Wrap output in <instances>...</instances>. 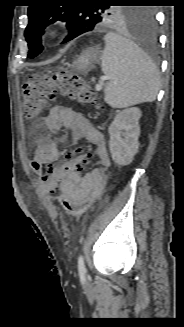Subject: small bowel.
<instances>
[{"label": "small bowel", "mask_w": 184, "mask_h": 327, "mask_svg": "<svg viewBox=\"0 0 184 327\" xmlns=\"http://www.w3.org/2000/svg\"><path fill=\"white\" fill-rule=\"evenodd\" d=\"M49 131L68 129L77 139H84L95 146L98 165L83 175V166L91 159L90 153H60L57 142L49 137H39L31 167L44 165L39 188L31 192L37 199H48L53 190L66 194L71 200H90L93 203L102 194L106 172L111 159L102 133L83 114L65 106H54L44 120ZM60 159V163H55ZM40 173V172H36ZM58 200V198L56 197Z\"/></svg>", "instance_id": "c3829d8e"}]
</instances>
